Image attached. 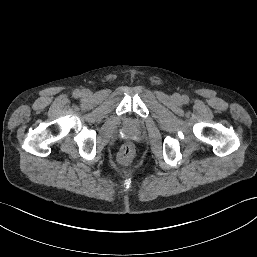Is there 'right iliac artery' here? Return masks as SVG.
<instances>
[{
	"mask_svg": "<svg viewBox=\"0 0 257 257\" xmlns=\"http://www.w3.org/2000/svg\"><path fill=\"white\" fill-rule=\"evenodd\" d=\"M80 95H81V92H80L79 89L74 90L73 96H74L75 98L79 97Z\"/></svg>",
	"mask_w": 257,
	"mask_h": 257,
	"instance_id": "1",
	"label": "right iliac artery"
}]
</instances>
